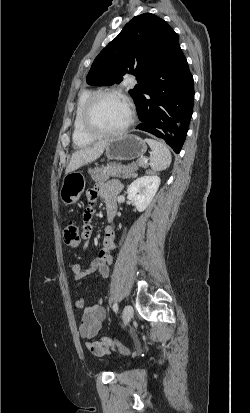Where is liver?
I'll return each instance as SVG.
<instances>
[{
    "instance_id": "liver-1",
    "label": "liver",
    "mask_w": 250,
    "mask_h": 413,
    "mask_svg": "<svg viewBox=\"0 0 250 413\" xmlns=\"http://www.w3.org/2000/svg\"><path fill=\"white\" fill-rule=\"evenodd\" d=\"M107 141H99L92 146L83 147L75 151L70 159V162L65 170V174H69L81 166L98 159L104 152Z\"/></svg>"
}]
</instances>
